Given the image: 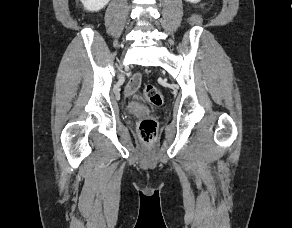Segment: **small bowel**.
I'll use <instances>...</instances> for the list:
<instances>
[{
    "label": "small bowel",
    "instance_id": "1",
    "mask_svg": "<svg viewBox=\"0 0 292 228\" xmlns=\"http://www.w3.org/2000/svg\"><path fill=\"white\" fill-rule=\"evenodd\" d=\"M142 81V74L136 73L134 74L128 84L126 85L124 92L126 95L130 96L139 88Z\"/></svg>",
    "mask_w": 292,
    "mask_h": 228
}]
</instances>
